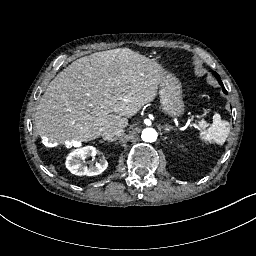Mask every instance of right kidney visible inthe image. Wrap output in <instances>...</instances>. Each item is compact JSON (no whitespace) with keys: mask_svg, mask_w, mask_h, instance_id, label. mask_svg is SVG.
Returning <instances> with one entry per match:
<instances>
[{"mask_svg":"<svg viewBox=\"0 0 256 256\" xmlns=\"http://www.w3.org/2000/svg\"><path fill=\"white\" fill-rule=\"evenodd\" d=\"M96 155L100 157L99 163L93 165L88 162V166L85 160ZM66 167L75 175L93 176L101 174L108 167V163L96 148L89 146L70 153L67 157Z\"/></svg>","mask_w":256,"mask_h":256,"instance_id":"ca27d5eb","label":"right kidney"}]
</instances>
